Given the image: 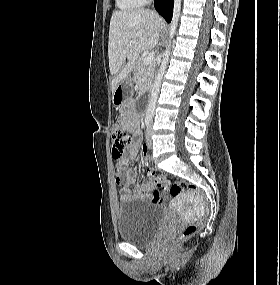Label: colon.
Returning <instances> with one entry per match:
<instances>
[{"mask_svg": "<svg viewBox=\"0 0 280 285\" xmlns=\"http://www.w3.org/2000/svg\"><path fill=\"white\" fill-rule=\"evenodd\" d=\"M111 138L113 142V156L115 158H121L125 148L131 142V137L125 129H123L120 125L115 124L111 128ZM143 151L144 154L147 153L146 149H143ZM148 174L153 177L154 183L157 187L164 189L172 197L179 196L184 192H191L200 198L205 209L208 208V199L202 192H200L196 185L187 182L170 183L164 177L155 175L151 169L148 170ZM197 228L198 225L195 223L185 225L179 233L171 238V244H177L189 238L197 231Z\"/></svg>", "mask_w": 280, "mask_h": 285, "instance_id": "5ec220e1", "label": "colon"}]
</instances>
